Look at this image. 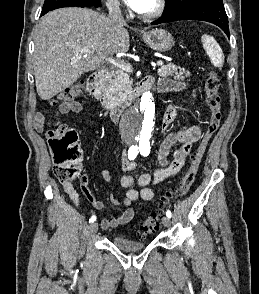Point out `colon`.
<instances>
[{"label": "colon", "instance_id": "1", "mask_svg": "<svg viewBox=\"0 0 259 294\" xmlns=\"http://www.w3.org/2000/svg\"><path fill=\"white\" fill-rule=\"evenodd\" d=\"M220 80L216 72L211 71L205 82L206 104L209 109V120L203 138L192 158L188 171L180 179L177 186L170 189L162 198L156 212L152 213L140 226V234L148 236L159 228L162 213L176 198L185 196L196 177L202 156L215 133L222 118L221 99L219 95ZM83 89V82L76 83L57 95L54 102L70 103L78 97ZM50 151L54 160V174L62 183L74 180L79 173L82 151L78 144L77 133L63 123H54L47 132Z\"/></svg>", "mask_w": 259, "mask_h": 294}]
</instances>
